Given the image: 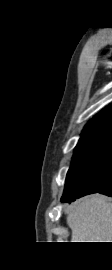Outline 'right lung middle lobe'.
Wrapping results in <instances>:
<instances>
[{
	"label": "right lung middle lobe",
	"instance_id": "dd1d6c3e",
	"mask_svg": "<svg viewBox=\"0 0 112 270\" xmlns=\"http://www.w3.org/2000/svg\"><path fill=\"white\" fill-rule=\"evenodd\" d=\"M111 145L112 126L99 127L82 134L67 173L62 202L74 201L82 196L85 192L83 176L101 162Z\"/></svg>",
	"mask_w": 112,
	"mask_h": 270
}]
</instances>
